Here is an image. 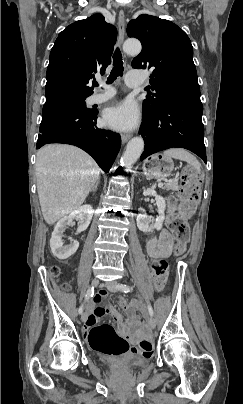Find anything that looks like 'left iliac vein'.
<instances>
[{"instance_id": "obj_1", "label": "left iliac vein", "mask_w": 243, "mask_h": 404, "mask_svg": "<svg viewBox=\"0 0 243 404\" xmlns=\"http://www.w3.org/2000/svg\"><path fill=\"white\" fill-rule=\"evenodd\" d=\"M104 285L111 292H117L118 291L117 282L110 281V282H106ZM148 324L152 329H154L156 327L155 319L152 316L148 317Z\"/></svg>"}]
</instances>
